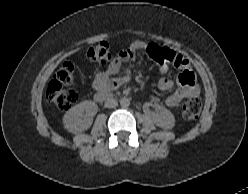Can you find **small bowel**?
<instances>
[{"label":"small bowel","mask_w":248,"mask_h":194,"mask_svg":"<svg viewBox=\"0 0 248 194\" xmlns=\"http://www.w3.org/2000/svg\"><path fill=\"white\" fill-rule=\"evenodd\" d=\"M150 45L156 44H147L144 42H135L129 49L119 50L113 62L109 67L98 72L93 81V86L97 92H108L112 89L119 87L130 79V72L125 71L123 75H120L122 71V66L129 59V56L132 52H136L142 49L149 48ZM175 66L181 69V72L177 78V89L166 99V105L168 107H176L183 100L198 97L200 90L196 84L195 74L191 68L189 61L182 55H175L174 61L172 62ZM166 65L162 66L163 71H166ZM174 82L168 77H162L158 81V87L161 91H169L173 88ZM158 101L152 99L148 107L156 108L158 106Z\"/></svg>","instance_id":"obj_1"}]
</instances>
